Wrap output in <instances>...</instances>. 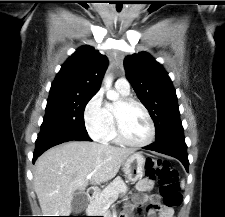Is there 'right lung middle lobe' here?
Segmentation results:
<instances>
[{"label": "right lung middle lobe", "mask_w": 225, "mask_h": 217, "mask_svg": "<svg viewBox=\"0 0 225 217\" xmlns=\"http://www.w3.org/2000/svg\"><path fill=\"white\" fill-rule=\"evenodd\" d=\"M94 95L49 94L41 130H61L88 135L84 109Z\"/></svg>", "instance_id": "right-lung-middle-lobe-1"}]
</instances>
